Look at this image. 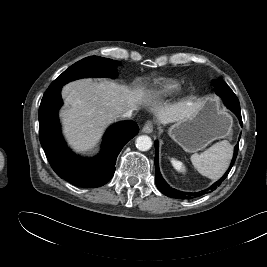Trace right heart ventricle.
<instances>
[{"instance_id": "1", "label": "right heart ventricle", "mask_w": 267, "mask_h": 267, "mask_svg": "<svg viewBox=\"0 0 267 267\" xmlns=\"http://www.w3.org/2000/svg\"><path fill=\"white\" fill-rule=\"evenodd\" d=\"M176 88L175 83L157 82L148 92L153 97H162L172 93Z\"/></svg>"}]
</instances>
